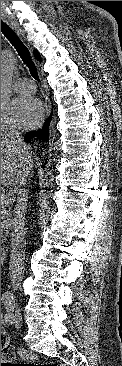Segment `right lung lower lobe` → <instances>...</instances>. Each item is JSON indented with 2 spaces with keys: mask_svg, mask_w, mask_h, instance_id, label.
<instances>
[{
  "mask_svg": "<svg viewBox=\"0 0 122 366\" xmlns=\"http://www.w3.org/2000/svg\"><path fill=\"white\" fill-rule=\"evenodd\" d=\"M52 119V114L48 117L45 121L43 127L38 131L27 132L25 134L24 139L29 141L32 137H37L38 139L42 140L43 142L49 141V126ZM43 167V166H42Z\"/></svg>",
  "mask_w": 122,
  "mask_h": 366,
  "instance_id": "1",
  "label": "right lung lower lobe"
}]
</instances>
